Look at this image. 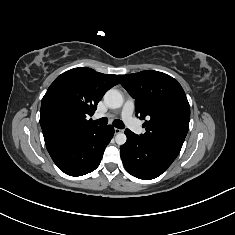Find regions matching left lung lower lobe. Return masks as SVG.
Here are the masks:
<instances>
[{
    "label": "left lung lower lobe",
    "instance_id": "1",
    "mask_svg": "<svg viewBox=\"0 0 235 235\" xmlns=\"http://www.w3.org/2000/svg\"><path fill=\"white\" fill-rule=\"evenodd\" d=\"M127 141L120 147L123 165L128 173L140 179H154L176 159L179 152L163 144L136 135L129 129Z\"/></svg>",
    "mask_w": 235,
    "mask_h": 235
}]
</instances>
